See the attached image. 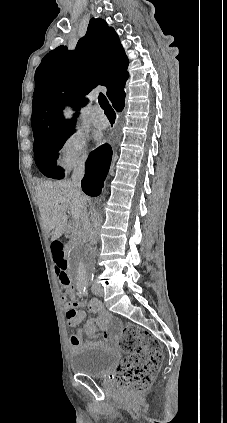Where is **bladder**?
Listing matches in <instances>:
<instances>
[{
  "instance_id": "1",
  "label": "bladder",
  "mask_w": 227,
  "mask_h": 423,
  "mask_svg": "<svg viewBox=\"0 0 227 423\" xmlns=\"http://www.w3.org/2000/svg\"><path fill=\"white\" fill-rule=\"evenodd\" d=\"M118 361L116 352L107 351L99 345L87 346L70 360L71 370L92 379H103L111 375Z\"/></svg>"
}]
</instances>
